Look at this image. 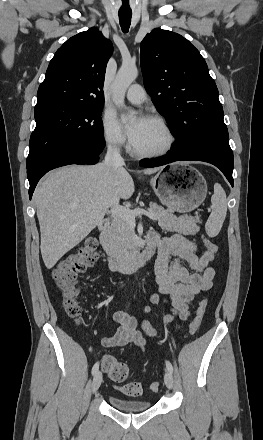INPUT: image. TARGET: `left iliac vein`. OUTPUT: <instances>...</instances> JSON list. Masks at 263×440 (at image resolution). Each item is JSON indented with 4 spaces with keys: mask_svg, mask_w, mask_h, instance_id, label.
Masks as SVG:
<instances>
[{
    "mask_svg": "<svg viewBox=\"0 0 263 440\" xmlns=\"http://www.w3.org/2000/svg\"><path fill=\"white\" fill-rule=\"evenodd\" d=\"M164 382L167 388L171 389L173 387L174 381H173L172 373L170 371L165 372Z\"/></svg>",
    "mask_w": 263,
    "mask_h": 440,
    "instance_id": "left-iliac-vein-1",
    "label": "left iliac vein"
}]
</instances>
